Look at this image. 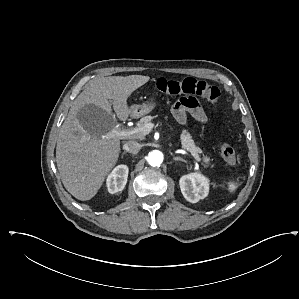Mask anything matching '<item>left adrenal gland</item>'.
I'll return each instance as SVG.
<instances>
[{
	"label": "left adrenal gland",
	"mask_w": 299,
	"mask_h": 299,
	"mask_svg": "<svg viewBox=\"0 0 299 299\" xmlns=\"http://www.w3.org/2000/svg\"><path fill=\"white\" fill-rule=\"evenodd\" d=\"M173 160H175V161H182V162H186L183 158H181V157H178V156H176V157H173Z\"/></svg>",
	"instance_id": "1"
}]
</instances>
